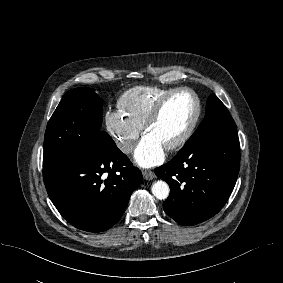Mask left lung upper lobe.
Listing matches in <instances>:
<instances>
[{"instance_id": "obj_1", "label": "left lung upper lobe", "mask_w": 283, "mask_h": 283, "mask_svg": "<svg viewBox=\"0 0 283 283\" xmlns=\"http://www.w3.org/2000/svg\"><path fill=\"white\" fill-rule=\"evenodd\" d=\"M205 113L203 121L186 144L207 136L236 131L234 120L215 94L209 96Z\"/></svg>"}]
</instances>
